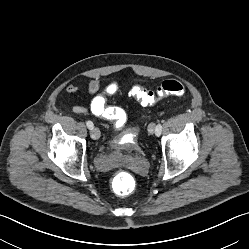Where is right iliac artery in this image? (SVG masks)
Masks as SVG:
<instances>
[{"mask_svg":"<svg viewBox=\"0 0 249 249\" xmlns=\"http://www.w3.org/2000/svg\"><path fill=\"white\" fill-rule=\"evenodd\" d=\"M86 125H87V127L91 130V129H93V127H94V125H93V123L91 122V121H87L86 122Z\"/></svg>","mask_w":249,"mask_h":249,"instance_id":"obj_1","label":"right iliac artery"}]
</instances>
